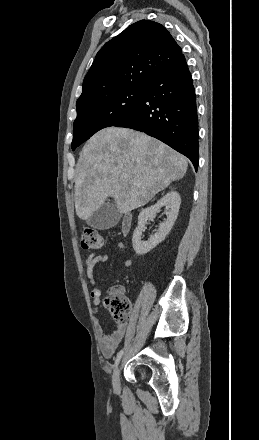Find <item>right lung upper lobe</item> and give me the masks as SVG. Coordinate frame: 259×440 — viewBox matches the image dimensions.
<instances>
[{"instance_id":"right-lung-upper-lobe-1","label":"right lung upper lobe","mask_w":259,"mask_h":440,"mask_svg":"<svg viewBox=\"0 0 259 440\" xmlns=\"http://www.w3.org/2000/svg\"><path fill=\"white\" fill-rule=\"evenodd\" d=\"M183 56L165 27L149 20L138 21L97 53L76 107L122 89L148 88Z\"/></svg>"}]
</instances>
